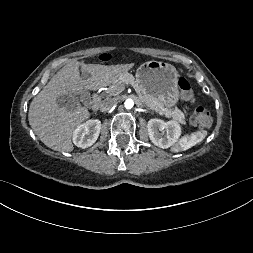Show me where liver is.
<instances>
[{
	"label": "liver",
	"instance_id": "liver-1",
	"mask_svg": "<svg viewBox=\"0 0 253 253\" xmlns=\"http://www.w3.org/2000/svg\"><path fill=\"white\" fill-rule=\"evenodd\" d=\"M132 66L84 64L78 61L66 64L33 98L28 113L31 128L47 147L56 151H73L72 134L89 118L90 113L78 103L74 109L59 106L58 96L73 94L78 97L84 90L95 91L110 85Z\"/></svg>",
	"mask_w": 253,
	"mask_h": 253
}]
</instances>
